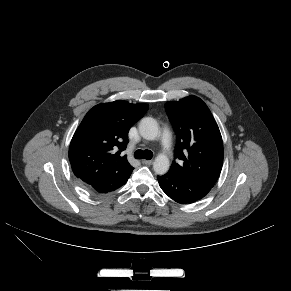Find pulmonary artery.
Returning <instances> with one entry per match:
<instances>
[{"label":"pulmonary artery","instance_id":"e3ab8cb5","mask_svg":"<svg viewBox=\"0 0 291 291\" xmlns=\"http://www.w3.org/2000/svg\"><path fill=\"white\" fill-rule=\"evenodd\" d=\"M160 144L164 152L171 156V140H170V133L167 128H165L162 132Z\"/></svg>","mask_w":291,"mask_h":291}]
</instances>
